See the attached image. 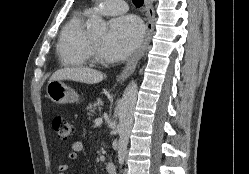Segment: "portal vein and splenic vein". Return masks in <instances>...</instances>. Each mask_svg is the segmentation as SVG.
Wrapping results in <instances>:
<instances>
[{"mask_svg":"<svg viewBox=\"0 0 249 174\" xmlns=\"http://www.w3.org/2000/svg\"><path fill=\"white\" fill-rule=\"evenodd\" d=\"M102 122H103L102 118H96L95 121H94V124H95L96 126H99V125L102 124Z\"/></svg>","mask_w":249,"mask_h":174,"instance_id":"18ae733b","label":"portal vein and splenic vein"}]
</instances>
